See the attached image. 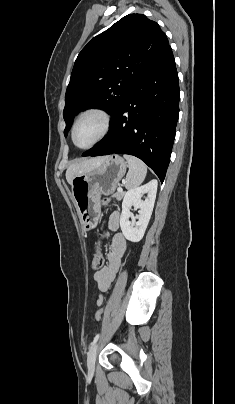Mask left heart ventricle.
<instances>
[{
    "mask_svg": "<svg viewBox=\"0 0 235 404\" xmlns=\"http://www.w3.org/2000/svg\"><path fill=\"white\" fill-rule=\"evenodd\" d=\"M102 129V120L96 115L83 118L76 127L75 142L78 146H85L95 140Z\"/></svg>",
    "mask_w": 235,
    "mask_h": 404,
    "instance_id": "left-heart-ventricle-1",
    "label": "left heart ventricle"
}]
</instances>
